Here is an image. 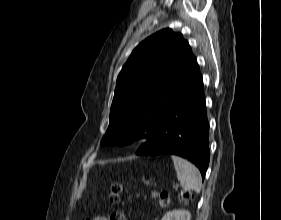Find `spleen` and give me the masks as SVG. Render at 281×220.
I'll use <instances>...</instances> for the list:
<instances>
[{
  "mask_svg": "<svg viewBox=\"0 0 281 220\" xmlns=\"http://www.w3.org/2000/svg\"><path fill=\"white\" fill-rule=\"evenodd\" d=\"M177 178L184 190H194L199 193L202 189V179L199 170L189 161L178 157L171 156Z\"/></svg>",
  "mask_w": 281,
  "mask_h": 220,
  "instance_id": "spleen-1",
  "label": "spleen"
}]
</instances>
